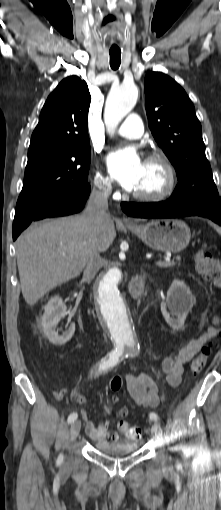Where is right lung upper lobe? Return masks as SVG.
I'll use <instances>...</instances> for the list:
<instances>
[{"label":"right lung upper lobe","mask_w":221,"mask_h":510,"mask_svg":"<svg viewBox=\"0 0 221 510\" xmlns=\"http://www.w3.org/2000/svg\"><path fill=\"white\" fill-rule=\"evenodd\" d=\"M91 96L87 84L77 76L61 81L49 95L40 114L28 156L42 151L62 150L89 144L87 131Z\"/></svg>","instance_id":"1"}]
</instances>
